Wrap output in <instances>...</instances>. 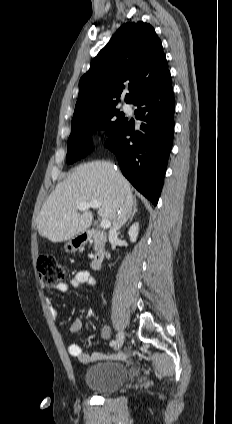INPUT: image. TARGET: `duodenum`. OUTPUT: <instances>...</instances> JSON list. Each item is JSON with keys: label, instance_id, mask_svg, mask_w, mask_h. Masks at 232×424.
Wrapping results in <instances>:
<instances>
[{"label": "duodenum", "instance_id": "obj_1", "mask_svg": "<svg viewBox=\"0 0 232 424\" xmlns=\"http://www.w3.org/2000/svg\"><path fill=\"white\" fill-rule=\"evenodd\" d=\"M83 236L86 242L94 241L95 243L91 268L93 270H98L105 258L107 235L100 230H90Z\"/></svg>", "mask_w": 232, "mask_h": 424}]
</instances>
